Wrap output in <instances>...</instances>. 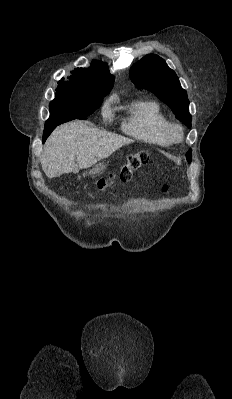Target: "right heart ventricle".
Instances as JSON below:
<instances>
[{"mask_svg": "<svg viewBox=\"0 0 232 399\" xmlns=\"http://www.w3.org/2000/svg\"><path fill=\"white\" fill-rule=\"evenodd\" d=\"M167 116L157 102L142 100L133 104L129 115L121 122L127 136L148 144L168 147L173 140L167 131Z\"/></svg>", "mask_w": 232, "mask_h": 399, "instance_id": "e07e8e85", "label": "right heart ventricle"}]
</instances>
